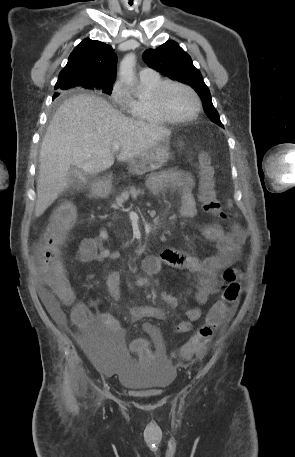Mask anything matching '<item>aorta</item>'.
Listing matches in <instances>:
<instances>
[{"instance_id":"obj_1","label":"aorta","mask_w":295,"mask_h":457,"mask_svg":"<svg viewBox=\"0 0 295 457\" xmlns=\"http://www.w3.org/2000/svg\"><path fill=\"white\" fill-rule=\"evenodd\" d=\"M136 64V56L132 53L127 54L121 61L119 67V76L121 80L128 86L134 84V67Z\"/></svg>"}]
</instances>
